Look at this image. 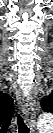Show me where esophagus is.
I'll return each instance as SVG.
<instances>
[{
  "label": "esophagus",
  "mask_w": 53,
  "mask_h": 133,
  "mask_svg": "<svg viewBox=\"0 0 53 133\" xmlns=\"http://www.w3.org/2000/svg\"><path fill=\"white\" fill-rule=\"evenodd\" d=\"M21 110L24 118L28 122L29 127L33 131L36 124L35 122L36 112H35L34 100L32 98H27L23 100L21 104Z\"/></svg>",
  "instance_id": "34e87169"
}]
</instances>
